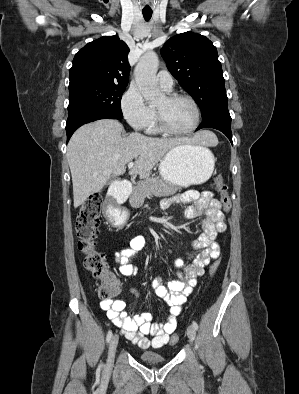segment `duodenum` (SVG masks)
<instances>
[{"label": "duodenum", "mask_w": 299, "mask_h": 394, "mask_svg": "<svg viewBox=\"0 0 299 394\" xmlns=\"http://www.w3.org/2000/svg\"><path fill=\"white\" fill-rule=\"evenodd\" d=\"M129 191L130 188L124 184L111 188L104 206L105 217L108 221H117L118 207L126 200Z\"/></svg>", "instance_id": "410a0bca"}]
</instances>
